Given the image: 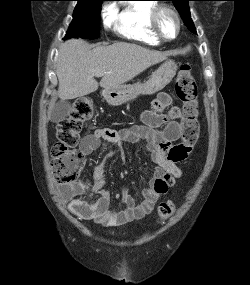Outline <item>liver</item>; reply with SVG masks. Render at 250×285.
I'll list each match as a JSON object with an SVG mask.
<instances>
[{
	"mask_svg": "<svg viewBox=\"0 0 250 285\" xmlns=\"http://www.w3.org/2000/svg\"><path fill=\"white\" fill-rule=\"evenodd\" d=\"M166 57V53L132 43L92 48L81 39H70L59 48L58 96L64 101L95 92L99 84L94 77L98 72H104L100 86L115 89Z\"/></svg>",
	"mask_w": 250,
	"mask_h": 285,
	"instance_id": "obj_1",
	"label": "liver"
}]
</instances>
